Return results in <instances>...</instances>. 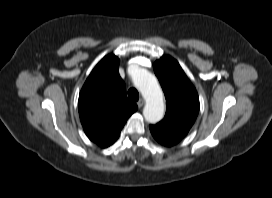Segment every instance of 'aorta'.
<instances>
[{
    "label": "aorta",
    "mask_w": 272,
    "mask_h": 198,
    "mask_svg": "<svg viewBox=\"0 0 272 198\" xmlns=\"http://www.w3.org/2000/svg\"><path fill=\"white\" fill-rule=\"evenodd\" d=\"M133 82L146 101L143 109L145 120L152 124L159 122L164 116V102L156 77L145 69H139L133 74Z\"/></svg>",
    "instance_id": "aorta-1"
}]
</instances>
